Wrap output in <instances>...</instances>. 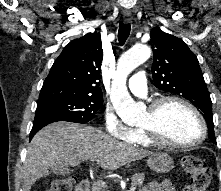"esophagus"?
I'll return each mask as SVG.
<instances>
[{"label":"esophagus","instance_id":"obj_1","mask_svg":"<svg viewBox=\"0 0 221 191\" xmlns=\"http://www.w3.org/2000/svg\"><path fill=\"white\" fill-rule=\"evenodd\" d=\"M124 21L126 22V23H129V22H131V17L129 16V15H124Z\"/></svg>","mask_w":221,"mask_h":191}]
</instances>
